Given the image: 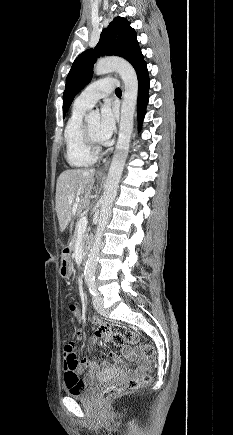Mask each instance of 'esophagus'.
<instances>
[{
	"label": "esophagus",
	"instance_id": "34e87169",
	"mask_svg": "<svg viewBox=\"0 0 233 435\" xmlns=\"http://www.w3.org/2000/svg\"><path fill=\"white\" fill-rule=\"evenodd\" d=\"M109 163H110V161L108 160L102 167L99 168V170L97 171V174L100 176H104L106 174L108 167H109Z\"/></svg>",
	"mask_w": 233,
	"mask_h": 435
}]
</instances>
